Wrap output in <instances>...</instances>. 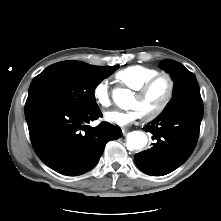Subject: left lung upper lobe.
I'll use <instances>...</instances> for the list:
<instances>
[{
	"instance_id": "left-lung-upper-lobe-1",
	"label": "left lung upper lobe",
	"mask_w": 221,
	"mask_h": 221,
	"mask_svg": "<svg viewBox=\"0 0 221 221\" xmlns=\"http://www.w3.org/2000/svg\"><path fill=\"white\" fill-rule=\"evenodd\" d=\"M160 67L171 73L175 83L173 98L161 114L184 106L191 100L201 99L199 85L195 75L187 70L181 63L173 60H164L161 62Z\"/></svg>"
}]
</instances>
